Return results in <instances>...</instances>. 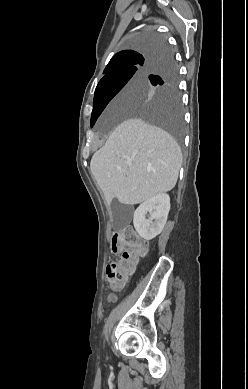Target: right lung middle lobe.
I'll return each mask as SVG.
<instances>
[{
  "mask_svg": "<svg viewBox=\"0 0 248 389\" xmlns=\"http://www.w3.org/2000/svg\"><path fill=\"white\" fill-rule=\"evenodd\" d=\"M164 42L155 36L145 38L142 48L149 50L162 47ZM158 59L155 65L147 67L135 64L120 68L106 74L98 83L93 100L91 127L111 99L128 83L137 86L148 76L153 86L149 85L151 99L148 102L134 101L127 107L131 115L139 117L149 124L158 126L173 138L183 141V112L177 89L178 70L172 53L168 51ZM158 77L154 79V76Z\"/></svg>",
  "mask_w": 248,
  "mask_h": 389,
  "instance_id": "right-lung-middle-lobe-1",
  "label": "right lung middle lobe"
}]
</instances>
